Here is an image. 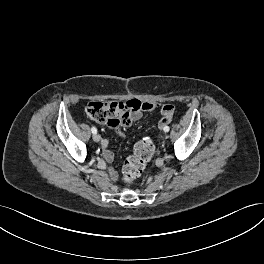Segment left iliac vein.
Listing matches in <instances>:
<instances>
[{"label":"left iliac vein","mask_w":264,"mask_h":264,"mask_svg":"<svg viewBox=\"0 0 264 264\" xmlns=\"http://www.w3.org/2000/svg\"><path fill=\"white\" fill-rule=\"evenodd\" d=\"M165 139H166V140H169V139H170V135H169V134H166V135H165Z\"/></svg>","instance_id":"obj_1"}]
</instances>
